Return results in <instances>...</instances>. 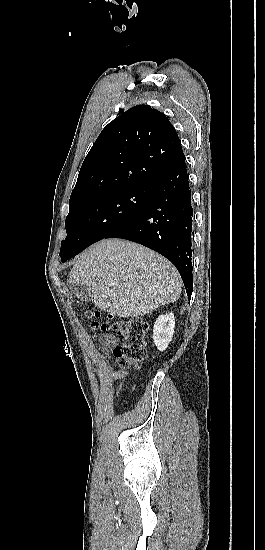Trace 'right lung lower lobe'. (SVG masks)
<instances>
[{
    "instance_id": "right-lung-lower-lobe-1",
    "label": "right lung lower lobe",
    "mask_w": 265,
    "mask_h": 550,
    "mask_svg": "<svg viewBox=\"0 0 265 550\" xmlns=\"http://www.w3.org/2000/svg\"><path fill=\"white\" fill-rule=\"evenodd\" d=\"M192 220L191 189L183 156L159 177L144 210L106 238L134 241L165 256L178 269L190 299Z\"/></svg>"
}]
</instances>
